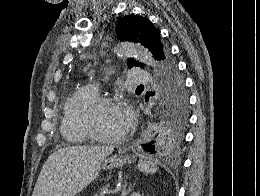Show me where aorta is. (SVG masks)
Wrapping results in <instances>:
<instances>
[{"label": "aorta", "instance_id": "aorta-1", "mask_svg": "<svg viewBox=\"0 0 260 196\" xmlns=\"http://www.w3.org/2000/svg\"><path fill=\"white\" fill-rule=\"evenodd\" d=\"M116 54L119 57H135L138 61L146 64L156 71V62L152 54L143 46L130 42L121 43L116 48Z\"/></svg>", "mask_w": 260, "mask_h": 196}]
</instances>
